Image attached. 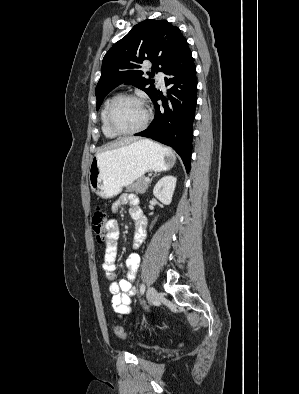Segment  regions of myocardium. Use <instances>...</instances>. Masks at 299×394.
I'll use <instances>...</instances> for the list:
<instances>
[{
    "label": "myocardium",
    "instance_id": "obj_1",
    "mask_svg": "<svg viewBox=\"0 0 299 394\" xmlns=\"http://www.w3.org/2000/svg\"><path fill=\"white\" fill-rule=\"evenodd\" d=\"M125 99H132V100H136V101L140 102L145 108V118H144L143 122L138 127L134 128L132 130L122 131V130L117 129L113 125V123H112V113H113V110H114L115 106L121 100H125ZM151 117H152L151 109H150L149 105L147 104V102L142 97H140V96H138L136 94L125 93V94L117 95L110 102V104H109V106L107 108V112H106V123H107V126L110 129V131L112 133H114L115 135L126 136V135H133V134L139 133L142 130H144L147 127Z\"/></svg>",
    "mask_w": 299,
    "mask_h": 394
}]
</instances>
